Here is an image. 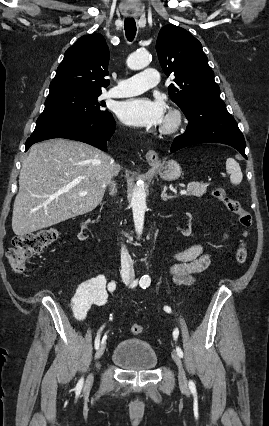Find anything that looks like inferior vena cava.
Segmentation results:
<instances>
[{"label": "inferior vena cava", "instance_id": "inferior-vena-cava-1", "mask_svg": "<svg viewBox=\"0 0 269 426\" xmlns=\"http://www.w3.org/2000/svg\"><path fill=\"white\" fill-rule=\"evenodd\" d=\"M114 166H116L114 164ZM109 185L111 187V194L114 191L115 183L111 180L109 181ZM121 268H122V275H133V261L131 259V256L129 255L127 249L123 246L121 249Z\"/></svg>", "mask_w": 269, "mask_h": 426}]
</instances>
